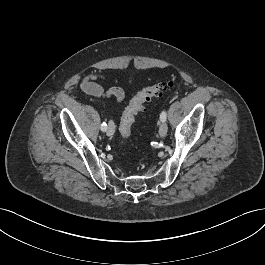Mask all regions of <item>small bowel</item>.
Here are the masks:
<instances>
[{
  "instance_id": "obj_1",
  "label": "small bowel",
  "mask_w": 265,
  "mask_h": 265,
  "mask_svg": "<svg viewBox=\"0 0 265 265\" xmlns=\"http://www.w3.org/2000/svg\"><path fill=\"white\" fill-rule=\"evenodd\" d=\"M104 79L105 75L102 73H90L82 78L80 82V88L86 94L97 100L104 98H114L116 102L121 103L125 99V91L118 86L110 87L108 89L103 88L97 83V81Z\"/></svg>"
}]
</instances>
